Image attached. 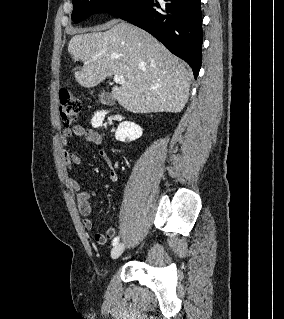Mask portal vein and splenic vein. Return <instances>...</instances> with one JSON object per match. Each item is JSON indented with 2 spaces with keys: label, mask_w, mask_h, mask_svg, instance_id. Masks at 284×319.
I'll list each match as a JSON object with an SVG mask.
<instances>
[{
  "label": "portal vein and splenic vein",
  "mask_w": 284,
  "mask_h": 319,
  "mask_svg": "<svg viewBox=\"0 0 284 319\" xmlns=\"http://www.w3.org/2000/svg\"><path fill=\"white\" fill-rule=\"evenodd\" d=\"M113 81L117 84H125L126 83L124 77L120 76V75H115L113 78Z\"/></svg>",
  "instance_id": "portal-vein-and-splenic-vein-1"
}]
</instances>
